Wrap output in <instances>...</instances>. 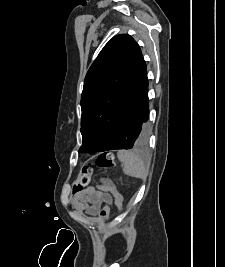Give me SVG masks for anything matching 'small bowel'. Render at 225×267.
Listing matches in <instances>:
<instances>
[{
  "instance_id": "1",
  "label": "small bowel",
  "mask_w": 225,
  "mask_h": 267,
  "mask_svg": "<svg viewBox=\"0 0 225 267\" xmlns=\"http://www.w3.org/2000/svg\"><path fill=\"white\" fill-rule=\"evenodd\" d=\"M99 187L102 191L109 192V194L103 193L95 187H89L82 192L74 194L73 205L76 210L94 216L99 212L102 204L112 203V197H114L115 203L118 206V200L123 198V196L119 193L114 183L109 179H105Z\"/></svg>"
}]
</instances>
